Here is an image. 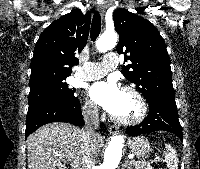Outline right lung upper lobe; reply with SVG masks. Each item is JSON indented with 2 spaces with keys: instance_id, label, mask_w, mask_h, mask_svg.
<instances>
[{
  "instance_id": "right-lung-upper-lobe-1",
  "label": "right lung upper lobe",
  "mask_w": 200,
  "mask_h": 169,
  "mask_svg": "<svg viewBox=\"0 0 200 169\" xmlns=\"http://www.w3.org/2000/svg\"><path fill=\"white\" fill-rule=\"evenodd\" d=\"M90 13L76 9L51 23L40 35L31 60L30 86L47 80L66 79L78 63L90 29Z\"/></svg>"
}]
</instances>
